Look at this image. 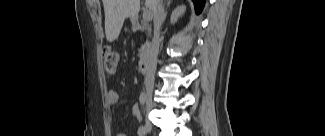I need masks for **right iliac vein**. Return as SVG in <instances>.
Wrapping results in <instances>:
<instances>
[{
  "label": "right iliac vein",
  "instance_id": "63e3f726",
  "mask_svg": "<svg viewBox=\"0 0 325 136\" xmlns=\"http://www.w3.org/2000/svg\"><path fill=\"white\" fill-rule=\"evenodd\" d=\"M145 128H146V131H148V132L152 130V125L149 121H146Z\"/></svg>",
  "mask_w": 325,
  "mask_h": 136
}]
</instances>
